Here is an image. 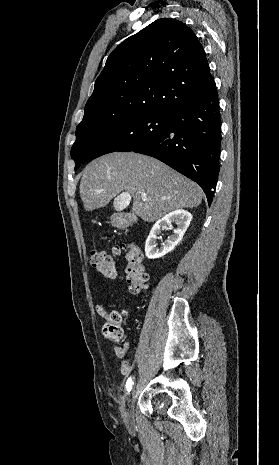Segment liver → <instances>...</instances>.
<instances>
[{
    "instance_id": "6515ba94",
    "label": "liver",
    "mask_w": 279,
    "mask_h": 465,
    "mask_svg": "<svg viewBox=\"0 0 279 465\" xmlns=\"http://www.w3.org/2000/svg\"><path fill=\"white\" fill-rule=\"evenodd\" d=\"M124 191L133 198L132 213L146 222H154L174 210L197 207L203 197L196 183L146 155L110 153L84 169L80 197L86 211L106 206ZM143 193L147 200L142 199ZM119 199L128 204L120 195L114 200L116 209Z\"/></svg>"
}]
</instances>
